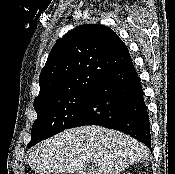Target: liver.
<instances>
[{
    "label": "liver",
    "instance_id": "1",
    "mask_svg": "<svg viewBox=\"0 0 175 174\" xmlns=\"http://www.w3.org/2000/svg\"><path fill=\"white\" fill-rule=\"evenodd\" d=\"M149 156V150L120 131L92 125L65 130L30 151L29 166L38 174H87L86 163H94L95 174H118Z\"/></svg>",
    "mask_w": 175,
    "mask_h": 174
}]
</instances>
